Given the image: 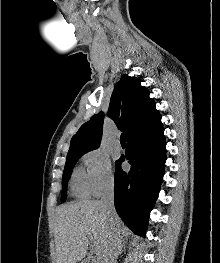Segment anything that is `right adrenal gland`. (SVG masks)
<instances>
[{
    "label": "right adrenal gland",
    "mask_w": 220,
    "mask_h": 263,
    "mask_svg": "<svg viewBox=\"0 0 220 263\" xmlns=\"http://www.w3.org/2000/svg\"><path fill=\"white\" fill-rule=\"evenodd\" d=\"M125 244H126V241H124L123 244L120 246L118 255H120V254H122V252H124V250H125Z\"/></svg>",
    "instance_id": "right-adrenal-gland-1"
}]
</instances>
